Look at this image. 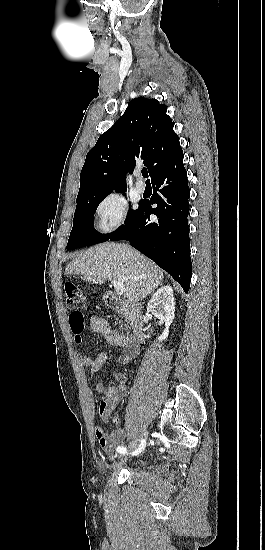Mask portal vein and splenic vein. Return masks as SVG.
<instances>
[{"label": "portal vein and splenic vein", "instance_id": "18ae733b", "mask_svg": "<svg viewBox=\"0 0 265 550\" xmlns=\"http://www.w3.org/2000/svg\"><path fill=\"white\" fill-rule=\"evenodd\" d=\"M111 284L114 286L118 295H123L125 293V288L120 281L111 280Z\"/></svg>", "mask_w": 265, "mask_h": 550}]
</instances>
